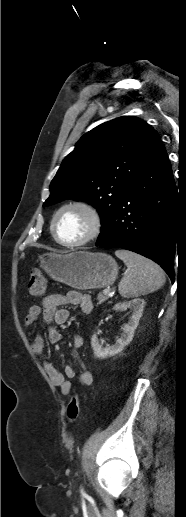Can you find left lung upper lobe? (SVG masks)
<instances>
[{
  "label": "left lung upper lobe",
  "mask_w": 186,
  "mask_h": 517,
  "mask_svg": "<svg viewBox=\"0 0 186 517\" xmlns=\"http://www.w3.org/2000/svg\"><path fill=\"white\" fill-rule=\"evenodd\" d=\"M161 145L158 133L133 116L97 126L63 160L43 206L65 198L89 202L98 210L103 228Z\"/></svg>",
  "instance_id": "5c2ea615"
}]
</instances>
